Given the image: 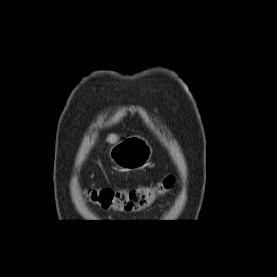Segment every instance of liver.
<instances>
[{
	"mask_svg": "<svg viewBox=\"0 0 277 277\" xmlns=\"http://www.w3.org/2000/svg\"><path fill=\"white\" fill-rule=\"evenodd\" d=\"M107 141L110 144H115L118 141V136L115 135V134H111V135L108 136Z\"/></svg>",
	"mask_w": 277,
	"mask_h": 277,
	"instance_id": "1",
	"label": "liver"
}]
</instances>
